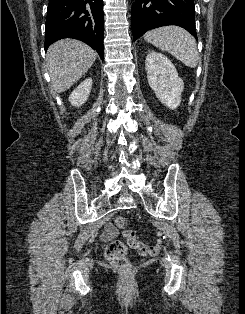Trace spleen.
Instances as JSON below:
<instances>
[{
    "mask_svg": "<svg viewBox=\"0 0 245 314\" xmlns=\"http://www.w3.org/2000/svg\"><path fill=\"white\" fill-rule=\"evenodd\" d=\"M144 40L157 48L170 53L184 65L195 68L199 54L194 37L178 26H164L148 31Z\"/></svg>",
    "mask_w": 245,
    "mask_h": 314,
    "instance_id": "3e777b00",
    "label": "spleen"
}]
</instances>
